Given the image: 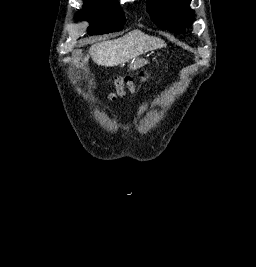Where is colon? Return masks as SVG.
<instances>
[{
	"label": "colon",
	"mask_w": 256,
	"mask_h": 267,
	"mask_svg": "<svg viewBox=\"0 0 256 267\" xmlns=\"http://www.w3.org/2000/svg\"><path fill=\"white\" fill-rule=\"evenodd\" d=\"M151 74L149 72L141 71L139 79L135 80L127 76L121 77L115 83L116 90L113 95H122L125 91H134L138 83L146 82L150 79Z\"/></svg>",
	"instance_id": "1"
}]
</instances>
